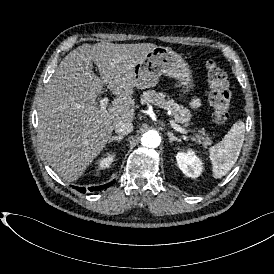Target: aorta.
Instances as JSON below:
<instances>
[{"label":"aorta","mask_w":274,"mask_h":274,"mask_svg":"<svg viewBox=\"0 0 274 274\" xmlns=\"http://www.w3.org/2000/svg\"><path fill=\"white\" fill-rule=\"evenodd\" d=\"M161 142V137L157 131L150 130L143 134L141 143L144 147L156 148Z\"/></svg>","instance_id":"1"}]
</instances>
